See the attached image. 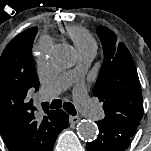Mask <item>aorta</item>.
Wrapping results in <instances>:
<instances>
[{
	"label": "aorta",
	"mask_w": 151,
	"mask_h": 151,
	"mask_svg": "<svg viewBox=\"0 0 151 151\" xmlns=\"http://www.w3.org/2000/svg\"><path fill=\"white\" fill-rule=\"evenodd\" d=\"M74 51L68 45L56 46L51 55L52 62L59 67H67L74 61ZM79 136L85 141H92L98 135L97 125L89 120H83L77 125Z\"/></svg>",
	"instance_id": "1"
}]
</instances>
